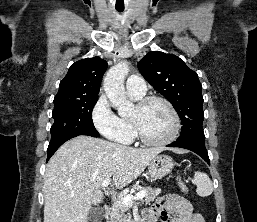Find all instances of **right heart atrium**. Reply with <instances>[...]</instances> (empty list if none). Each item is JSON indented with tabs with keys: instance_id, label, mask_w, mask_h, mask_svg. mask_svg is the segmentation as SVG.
<instances>
[{
	"instance_id": "right-heart-atrium-1",
	"label": "right heart atrium",
	"mask_w": 257,
	"mask_h": 222,
	"mask_svg": "<svg viewBox=\"0 0 257 222\" xmlns=\"http://www.w3.org/2000/svg\"><path fill=\"white\" fill-rule=\"evenodd\" d=\"M98 107L108 109V101L102 96L97 102L93 111V122L97 130L106 138L120 143H128L131 141L133 129L131 126L125 124L118 116H113L115 124L113 126L102 127L96 121L95 110Z\"/></svg>"
}]
</instances>
